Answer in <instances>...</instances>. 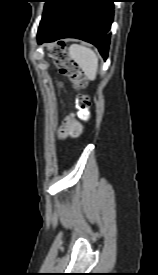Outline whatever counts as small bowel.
<instances>
[{
  "label": "small bowel",
  "instance_id": "small-bowel-1",
  "mask_svg": "<svg viewBox=\"0 0 158 275\" xmlns=\"http://www.w3.org/2000/svg\"><path fill=\"white\" fill-rule=\"evenodd\" d=\"M82 130L81 124L75 119L73 114L68 115L64 122L61 129V135H71L76 136L78 135Z\"/></svg>",
  "mask_w": 158,
  "mask_h": 275
}]
</instances>
